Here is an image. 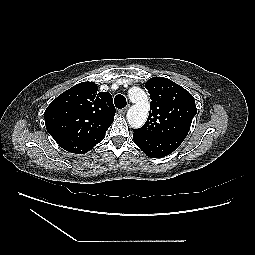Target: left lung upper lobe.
<instances>
[{
    "mask_svg": "<svg viewBox=\"0 0 255 255\" xmlns=\"http://www.w3.org/2000/svg\"><path fill=\"white\" fill-rule=\"evenodd\" d=\"M145 88L150 94L147 122L134 133L144 137L185 139L197 113L194 97L183 87L164 77L149 79Z\"/></svg>",
    "mask_w": 255,
    "mask_h": 255,
    "instance_id": "1",
    "label": "left lung upper lobe"
}]
</instances>
